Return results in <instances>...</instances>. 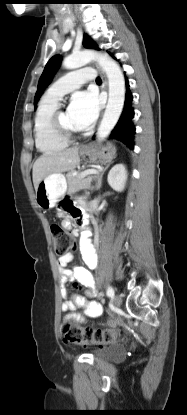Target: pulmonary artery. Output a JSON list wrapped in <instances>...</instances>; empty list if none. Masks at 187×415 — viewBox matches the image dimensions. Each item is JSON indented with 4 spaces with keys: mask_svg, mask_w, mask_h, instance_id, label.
<instances>
[{
    "mask_svg": "<svg viewBox=\"0 0 187 415\" xmlns=\"http://www.w3.org/2000/svg\"><path fill=\"white\" fill-rule=\"evenodd\" d=\"M96 72L91 67L79 69L68 73L56 81L47 91L46 97L58 101L65 94L79 88L85 82L94 81Z\"/></svg>",
    "mask_w": 187,
    "mask_h": 415,
    "instance_id": "pulmonary-artery-1",
    "label": "pulmonary artery"
}]
</instances>
